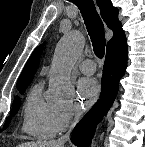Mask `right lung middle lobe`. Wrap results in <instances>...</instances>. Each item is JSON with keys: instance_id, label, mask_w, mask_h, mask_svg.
Segmentation results:
<instances>
[{"instance_id": "dd1d6c3e", "label": "right lung middle lobe", "mask_w": 145, "mask_h": 147, "mask_svg": "<svg viewBox=\"0 0 145 147\" xmlns=\"http://www.w3.org/2000/svg\"><path fill=\"white\" fill-rule=\"evenodd\" d=\"M26 88L27 87H24V88H21V89H18V90H19V92L21 94H23ZM19 107H20V98L19 97H16L14 99L13 107H12V109L10 111V114L12 116H14L18 112ZM10 120H11V117H8L7 120H6V122H5V124H4V127H3L4 129L8 126V124L10 123Z\"/></svg>"}]
</instances>
